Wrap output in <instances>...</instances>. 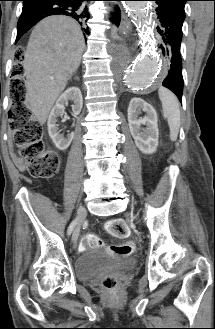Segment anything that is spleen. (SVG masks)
I'll list each match as a JSON object with an SVG mask.
<instances>
[{
  "instance_id": "1",
  "label": "spleen",
  "mask_w": 215,
  "mask_h": 329,
  "mask_svg": "<svg viewBox=\"0 0 215 329\" xmlns=\"http://www.w3.org/2000/svg\"><path fill=\"white\" fill-rule=\"evenodd\" d=\"M162 103L163 115L167 119L170 129V139L176 141L180 128V109L177 97L168 89L160 87L158 90Z\"/></svg>"
}]
</instances>
